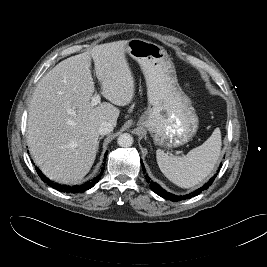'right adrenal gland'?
<instances>
[{"label": "right adrenal gland", "instance_id": "2a0ac1e0", "mask_svg": "<svg viewBox=\"0 0 267 267\" xmlns=\"http://www.w3.org/2000/svg\"><path fill=\"white\" fill-rule=\"evenodd\" d=\"M103 138V136L99 137V140H98V143H97V151L99 150V143H100V140Z\"/></svg>", "mask_w": 267, "mask_h": 267}]
</instances>
